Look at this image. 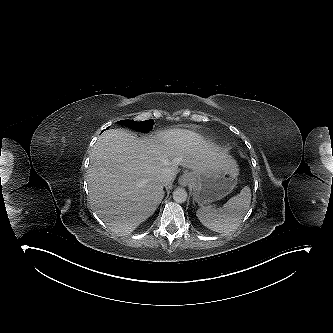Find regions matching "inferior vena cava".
<instances>
[{"instance_id":"602c4592","label":"inferior vena cava","mask_w":333,"mask_h":333,"mask_svg":"<svg viewBox=\"0 0 333 333\" xmlns=\"http://www.w3.org/2000/svg\"><path fill=\"white\" fill-rule=\"evenodd\" d=\"M174 173L170 169L162 170L161 174L158 176V180L163 185H167L172 182Z\"/></svg>"}]
</instances>
